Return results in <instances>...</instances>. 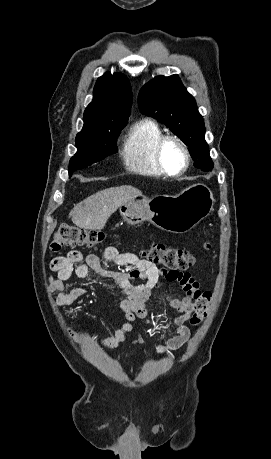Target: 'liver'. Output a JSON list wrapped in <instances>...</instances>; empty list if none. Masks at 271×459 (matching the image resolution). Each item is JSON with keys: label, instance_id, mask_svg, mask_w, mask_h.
<instances>
[{"label": "liver", "instance_id": "1", "mask_svg": "<svg viewBox=\"0 0 271 459\" xmlns=\"http://www.w3.org/2000/svg\"><path fill=\"white\" fill-rule=\"evenodd\" d=\"M133 196H142V192L132 186L102 190L74 206L69 218L78 228L103 229L108 218Z\"/></svg>", "mask_w": 271, "mask_h": 459}]
</instances>
